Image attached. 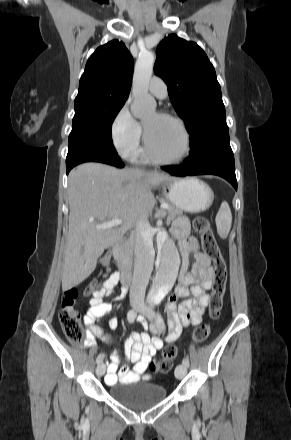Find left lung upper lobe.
<instances>
[{"instance_id": "left-lung-upper-lobe-1", "label": "left lung upper lobe", "mask_w": 291, "mask_h": 440, "mask_svg": "<svg viewBox=\"0 0 291 440\" xmlns=\"http://www.w3.org/2000/svg\"><path fill=\"white\" fill-rule=\"evenodd\" d=\"M154 72L166 82L170 100L186 123L191 153L228 133L214 67L196 43L169 35L157 47Z\"/></svg>"}]
</instances>
